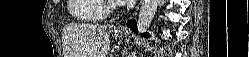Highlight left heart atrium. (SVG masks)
<instances>
[{"mask_svg":"<svg viewBox=\"0 0 249 57\" xmlns=\"http://www.w3.org/2000/svg\"><path fill=\"white\" fill-rule=\"evenodd\" d=\"M116 2L120 5H124V4H129L132 3L133 0H116Z\"/></svg>","mask_w":249,"mask_h":57,"instance_id":"left-heart-atrium-1","label":"left heart atrium"}]
</instances>
